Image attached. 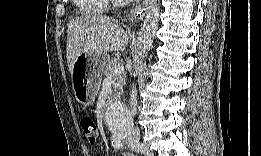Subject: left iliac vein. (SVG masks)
I'll list each match as a JSON object with an SVG mask.
<instances>
[{"mask_svg": "<svg viewBox=\"0 0 261 156\" xmlns=\"http://www.w3.org/2000/svg\"><path fill=\"white\" fill-rule=\"evenodd\" d=\"M128 146H129V148H130L131 150L136 151V148L134 147L133 144H129Z\"/></svg>", "mask_w": 261, "mask_h": 156, "instance_id": "1", "label": "left iliac vein"}]
</instances>
